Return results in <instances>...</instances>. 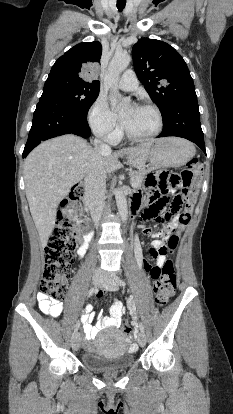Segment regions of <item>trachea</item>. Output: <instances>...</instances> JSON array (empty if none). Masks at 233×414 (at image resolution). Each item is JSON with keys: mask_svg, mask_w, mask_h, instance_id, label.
I'll list each match as a JSON object with an SVG mask.
<instances>
[{"mask_svg": "<svg viewBox=\"0 0 233 414\" xmlns=\"http://www.w3.org/2000/svg\"><path fill=\"white\" fill-rule=\"evenodd\" d=\"M126 0H117V8L122 11L125 8Z\"/></svg>", "mask_w": 233, "mask_h": 414, "instance_id": "obj_1", "label": "trachea"}]
</instances>
